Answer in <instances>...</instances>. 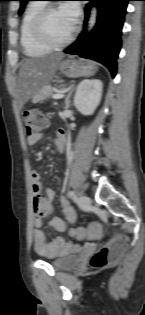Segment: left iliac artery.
I'll return each mask as SVG.
<instances>
[{
    "mask_svg": "<svg viewBox=\"0 0 145 315\" xmlns=\"http://www.w3.org/2000/svg\"><path fill=\"white\" fill-rule=\"evenodd\" d=\"M68 196L72 198V197H75L76 195H75V192L71 190L68 192Z\"/></svg>",
    "mask_w": 145,
    "mask_h": 315,
    "instance_id": "left-iliac-artery-1",
    "label": "left iliac artery"
}]
</instances>
